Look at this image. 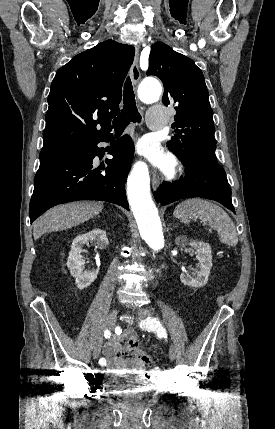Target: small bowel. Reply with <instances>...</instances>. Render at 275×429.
I'll use <instances>...</instances> for the list:
<instances>
[{
  "mask_svg": "<svg viewBox=\"0 0 275 429\" xmlns=\"http://www.w3.org/2000/svg\"><path fill=\"white\" fill-rule=\"evenodd\" d=\"M138 341L136 333L132 329H126L120 336H114L103 345L106 368L109 371H140L143 364L133 358H124L123 355L130 351V343ZM104 366V365H103Z\"/></svg>",
  "mask_w": 275,
  "mask_h": 429,
  "instance_id": "1",
  "label": "small bowel"
}]
</instances>
